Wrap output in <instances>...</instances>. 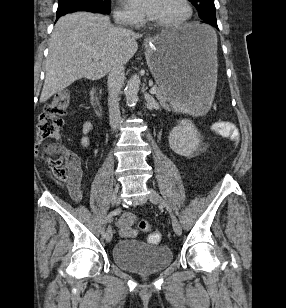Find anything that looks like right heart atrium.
<instances>
[{
	"label": "right heart atrium",
	"instance_id": "1",
	"mask_svg": "<svg viewBox=\"0 0 286 308\" xmlns=\"http://www.w3.org/2000/svg\"><path fill=\"white\" fill-rule=\"evenodd\" d=\"M114 18L117 23L129 26H136L140 19L124 8H117L114 12Z\"/></svg>",
	"mask_w": 286,
	"mask_h": 308
}]
</instances>
